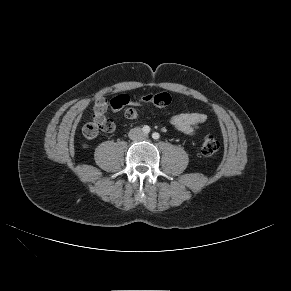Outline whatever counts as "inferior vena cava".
<instances>
[{
  "label": "inferior vena cava",
  "instance_id": "obj_1",
  "mask_svg": "<svg viewBox=\"0 0 291 291\" xmlns=\"http://www.w3.org/2000/svg\"><path fill=\"white\" fill-rule=\"evenodd\" d=\"M144 137H145L144 133L138 127L131 129L129 132V138L132 140H139V139H143Z\"/></svg>",
  "mask_w": 291,
  "mask_h": 291
}]
</instances>
